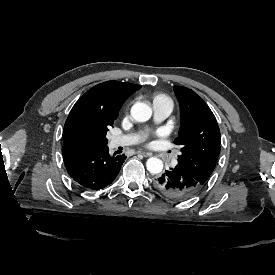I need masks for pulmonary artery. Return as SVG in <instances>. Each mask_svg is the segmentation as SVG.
Masks as SVG:
<instances>
[{
  "label": "pulmonary artery",
  "mask_w": 275,
  "mask_h": 275,
  "mask_svg": "<svg viewBox=\"0 0 275 275\" xmlns=\"http://www.w3.org/2000/svg\"><path fill=\"white\" fill-rule=\"evenodd\" d=\"M152 108L155 111L153 118L154 122H161L168 119L169 114L172 111V107L170 102L163 98L158 97L156 98L152 103ZM151 123V124H152ZM136 142V137L134 135H122L119 137L112 138L109 142L110 149H116L118 147L131 145ZM168 164L170 167L175 168L178 166L179 161L175 156H172V158L169 159Z\"/></svg>",
  "instance_id": "e3ab8cb5"
}]
</instances>
